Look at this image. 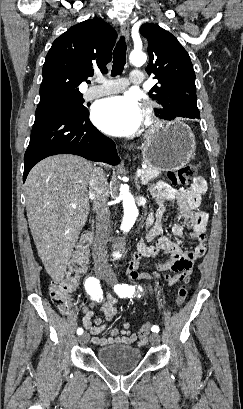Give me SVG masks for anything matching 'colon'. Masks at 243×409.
I'll return each mask as SVG.
<instances>
[{
	"label": "colon",
	"instance_id": "colon-1",
	"mask_svg": "<svg viewBox=\"0 0 243 409\" xmlns=\"http://www.w3.org/2000/svg\"><path fill=\"white\" fill-rule=\"evenodd\" d=\"M196 172L197 166L189 164L168 172V178L175 185L188 186L195 181ZM90 245L91 236L89 234L82 235L69 260L65 278L50 283L49 295L51 301L62 313H68L70 310V294L74 291L80 275L86 270ZM187 295V287L180 286L177 290L176 305L181 306ZM150 328V323L143 325L138 333L139 338H147Z\"/></svg>",
	"mask_w": 243,
	"mask_h": 409
}]
</instances>
